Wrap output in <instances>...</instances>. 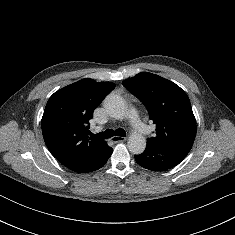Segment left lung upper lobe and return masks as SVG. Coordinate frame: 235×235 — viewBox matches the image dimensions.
Listing matches in <instances>:
<instances>
[{"mask_svg":"<svg viewBox=\"0 0 235 235\" xmlns=\"http://www.w3.org/2000/svg\"><path fill=\"white\" fill-rule=\"evenodd\" d=\"M124 87L146 107L156 124V135L147 143L188 153L196 136V120L186 93L158 75L141 72L126 79Z\"/></svg>","mask_w":235,"mask_h":235,"instance_id":"left-lung-upper-lobe-1","label":"left lung upper lobe"}]
</instances>
